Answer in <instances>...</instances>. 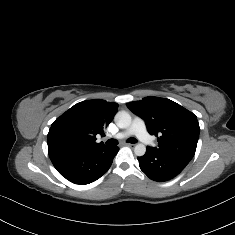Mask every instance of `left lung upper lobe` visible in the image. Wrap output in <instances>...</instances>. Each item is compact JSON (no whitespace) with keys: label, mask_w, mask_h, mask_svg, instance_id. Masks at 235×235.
Instances as JSON below:
<instances>
[{"label":"left lung upper lobe","mask_w":235,"mask_h":235,"mask_svg":"<svg viewBox=\"0 0 235 235\" xmlns=\"http://www.w3.org/2000/svg\"><path fill=\"white\" fill-rule=\"evenodd\" d=\"M126 105L144 119L148 132L157 137L158 147L149 148L189 161L193 158L200 127L192 112L174 101L152 96Z\"/></svg>","instance_id":"left-lung-upper-lobe-1"}]
</instances>
